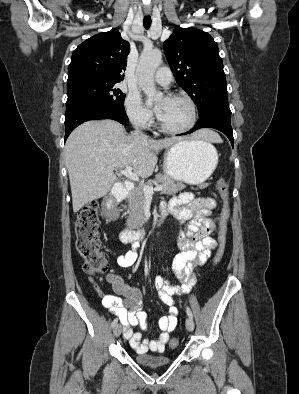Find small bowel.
I'll use <instances>...</instances> for the list:
<instances>
[{"instance_id": "obj_1", "label": "small bowel", "mask_w": 299, "mask_h": 394, "mask_svg": "<svg viewBox=\"0 0 299 394\" xmlns=\"http://www.w3.org/2000/svg\"><path fill=\"white\" fill-rule=\"evenodd\" d=\"M216 201L210 197H195L190 192H184L172 198L162 209L171 213L185 229L178 235V245L181 252L172 261V269L177 278L183 283L181 287L172 284L163 277H156L154 286L161 301L168 307V314L159 319L161 333L157 340L143 338L141 332H134L133 327L139 325L142 330L147 328V314L141 310L142 293L133 286L122 281L118 275H110L113 291L123 299L108 295L103 299V305L116 315L124 326V336L138 354L148 351L162 352L169 342L171 334L177 325L178 308L174 296L186 294L195 284V271L209 258L216 249L217 243L213 238L216 229L213 212ZM134 247L138 241L132 243ZM138 260V254L130 250L117 258L119 266L129 268Z\"/></svg>"}]
</instances>
